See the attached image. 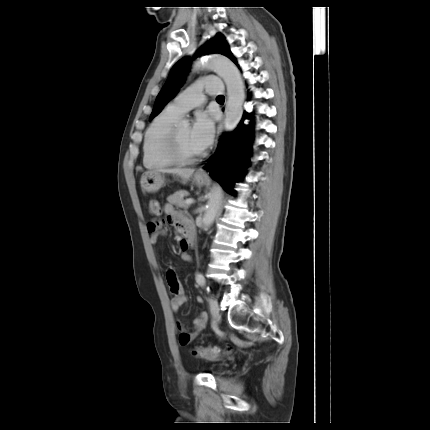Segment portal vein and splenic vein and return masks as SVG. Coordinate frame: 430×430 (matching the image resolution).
<instances>
[{
	"instance_id": "obj_1",
	"label": "portal vein and splenic vein",
	"mask_w": 430,
	"mask_h": 430,
	"mask_svg": "<svg viewBox=\"0 0 430 430\" xmlns=\"http://www.w3.org/2000/svg\"><path fill=\"white\" fill-rule=\"evenodd\" d=\"M193 203H194V200L192 198H188V199L185 200V205L186 206H190Z\"/></svg>"
}]
</instances>
